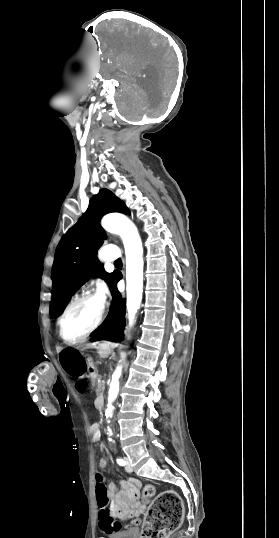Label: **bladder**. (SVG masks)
Segmentation results:
<instances>
[{"label": "bladder", "mask_w": 279, "mask_h": 538, "mask_svg": "<svg viewBox=\"0 0 279 538\" xmlns=\"http://www.w3.org/2000/svg\"><path fill=\"white\" fill-rule=\"evenodd\" d=\"M108 538H139L138 532H109Z\"/></svg>", "instance_id": "1"}]
</instances>
